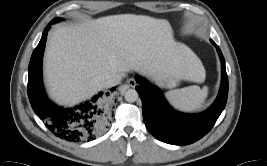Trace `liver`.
Segmentation results:
<instances>
[{"instance_id":"obj_1","label":"liver","mask_w":267,"mask_h":166,"mask_svg":"<svg viewBox=\"0 0 267 166\" xmlns=\"http://www.w3.org/2000/svg\"><path fill=\"white\" fill-rule=\"evenodd\" d=\"M133 70L155 77L202 83L205 69L185 45L176 43L167 20L144 15L106 16L58 27L48 39L45 77L50 95L74 104L105 88L107 73Z\"/></svg>"}]
</instances>
